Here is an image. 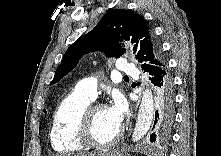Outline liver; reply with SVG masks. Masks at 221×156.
Returning <instances> with one entry per match:
<instances>
[{
  "label": "liver",
  "mask_w": 221,
  "mask_h": 156,
  "mask_svg": "<svg viewBox=\"0 0 221 156\" xmlns=\"http://www.w3.org/2000/svg\"><path fill=\"white\" fill-rule=\"evenodd\" d=\"M96 154H88V156H95ZM77 156H87V155H85V154H78Z\"/></svg>",
  "instance_id": "obj_1"
}]
</instances>
